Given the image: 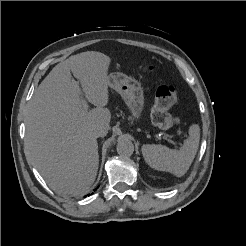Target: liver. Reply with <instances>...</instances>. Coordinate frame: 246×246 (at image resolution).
<instances>
[{"instance_id":"liver-1","label":"liver","mask_w":246,"mask_h":246,"mask_svg":"<svg viewBox=\"0 0 246 246\" xmlns=\"http://www.w3.org/2000/svg\"><path fill=\"white\" fill-rule=\"evenodd\" d=\"M111 59L87 51L57 64L36 89L27 109L25 148L33 165L51 189L82 196L95 181L98 143L93 129L102 127L105 136L111 113L108 103ZM84 96L96 108L84 109Z\"/></svg>"}]
</instances>
